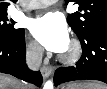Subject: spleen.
Masks as SVG:
<instances>
[{
  "instance_id": "1",
  "label": "spleen",
  "mask_w": 107,
  "mask_h": 89,
  "mask_svg": "<svg viewBox=\"0 0 107 89\" xmlns=\"http://www.w3.org/2000/svg\"><path fill=\"white\" fill-rule=\"evenodd\" d=\"M106 88H107L106 85H104V84H98V85H96V87L94 89H106Z\"/></svg>"
}]
</instances>
